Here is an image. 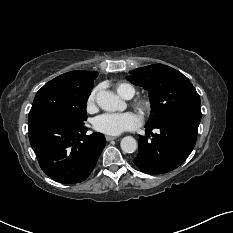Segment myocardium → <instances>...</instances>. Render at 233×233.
Here are the masks:
<instances>
[{
    "instance_id": "f54148a6",
    "label": "myocardium",
    "mask_w": 233,
    "mask_h": 233,
    "mask_svg": "<svg viewBox=\"0 0 233 233\" xmlns=\"http://www.w3.org/2000/svg\"><path fill=\"white\" fill-rule=\"evenodd\" d=\"M134 106L143 113H148L151 109V102L148 98L142 97L134 101Z\"/></svg>"
}]
</instances>
